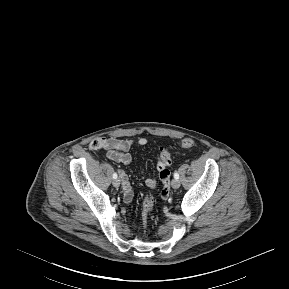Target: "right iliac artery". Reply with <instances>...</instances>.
Segmentation results:
<instances>
[{
  "label": "right iliac artery",
  "mask_w": 289,
  "mask_h": 289,
  "mask_svg": "<svg viewBox=\"0 0 289 289\" xmlns=\"http://www.w3.org/2000/svg\"><path fill=\"white\" fill-rule=\"evenodd\" d=\"M113 178L116 179L117 178V173L113 174Z\"/></svg>",
  "instance_id": "right-iliac-artery-1"
}]
</instances>
